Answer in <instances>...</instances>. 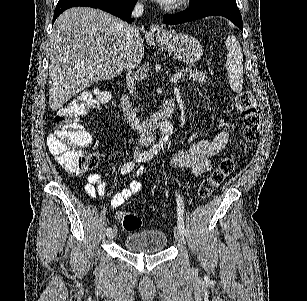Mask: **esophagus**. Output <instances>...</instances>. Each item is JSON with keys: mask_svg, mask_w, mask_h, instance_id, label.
<instances>
[{"mask_svg": "<svg viewBox=\"0 0 307 301\" xmlns=\"http://www.w3.org/2000/svg\"><path fill=\"white\" fill-rule=\"evenodd\" d=\"M150 33L151 35H153L154 38H161L164 33H165V30L163 28H161L159 25H151V28H150Z\"/></svg>", "mask_w": 307, "mask_h": 301, "instance_id": "obj_1", "label": "esophagus"}]
</instances>
